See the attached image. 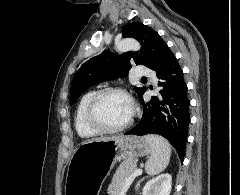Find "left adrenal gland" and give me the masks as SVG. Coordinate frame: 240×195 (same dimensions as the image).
<instances>
[{"instance_id":"left-adrenal-gland-1","label":"left adrenal gland","mask_w":240,"mask_h":195,"mask_svg":"<svg viewBox=\"0 0 240 195\" xmlns=\"http://www.w3.org/2000/svg\"><path fill=\"white\" fill-rule=\"evenodd\" d=\"M146 177H149V175H146ZM145 177H141V179H138L136 185H135V191H138L139 189V185L141 183V181H144Z\"/></svg>"}]
</instances>
